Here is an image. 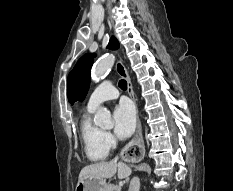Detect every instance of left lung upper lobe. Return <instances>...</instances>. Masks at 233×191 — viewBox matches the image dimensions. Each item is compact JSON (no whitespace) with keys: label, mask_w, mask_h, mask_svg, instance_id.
<instances>
[{"label":"left lung upper lobe","mask_w":233,"mask_h":191,"mask_svg":"<svg viewBox=\"0 0 233 191\" xmlns=\"http://www.w3.org/2000/svg\"><path fill=\"white\" fill-rule=\"evenodd\" d=\"M118 47V41L112 37L108 48L115 50ZM94 56V54L89 53L82 56L68 75L67 91L68 100L71 104L76 101H83L87 95L90 83V70L93 65Z\"/></svg>","instance_id":"1"}]
</instances>
